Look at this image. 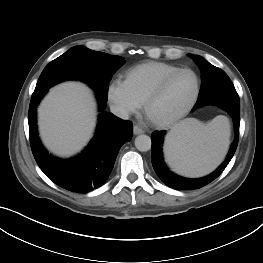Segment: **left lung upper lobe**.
Segmentation results:
<instances>
[{"label":"left lung upper lobe","mask_w":263,"mask_h":263,"mask_svg":"<svg viewBox=\"0 0 263 263\" xmlns=\"http://www.w3.org/2000/svg\"><path fill=\"white\" fill-rule=\"evenodd\" d=\"M190 56L194 59V61L198 64L200 70L202 71V85L199 92V97L207 95L208 93H211L213 91L235 89L230 78L223 70L213 66L201 56ZM208 69H211L212 72L211 74L207 75L204 73V70Z\"/></svg>","instance_id":"5c2ea615"}]
</instances>
